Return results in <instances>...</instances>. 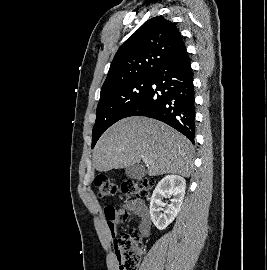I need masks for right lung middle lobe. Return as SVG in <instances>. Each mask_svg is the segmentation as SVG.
<instances>
[{
  "mask_svg": "<svg viewBox=\"0 0 267 270\" xmlns=\"http://www.w3.org/2000/svg\"><path fill=\"white\" fill-rule=\"evenodd\" d=\"M150 86L151 77H143L101 91L96 121L93 127L92 148L106 129L124 118L144 97Z\"/></svg>",
  "mask_w": 267,
  "mask_h": 270,
  "instance_id": "right-lung-middle-lobe-1",
  "label": "right lung middle lobe"
}]
</instances>
